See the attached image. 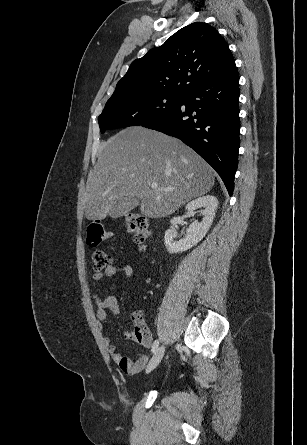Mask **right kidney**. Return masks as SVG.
Returning <instances> with one entry per match:
<instances>
[{"mask_svg": "<svg viewBox=\"0 0 307 445\" xmlns=\"http://www.w3.org/2000/svg\"><path fill=\"white\" fill-rule=\"evenodd\" d=\"M217 206L218 198L212 196V194L199 196V198L188 202V204H186L188 212H193L195 208H204V218L201 220V223H198V220H194V223L187 229L185 239H181V241H173V239L177 237V233L176 231H172V229H168L164 237L167 251H169V253H183V251H188V249L200 243L213 223Z\"/></svg>", "mask_w": 307, "mask_h": 445, "instance_id": "obj_1", "label": "right kidney"}]
</instances>
